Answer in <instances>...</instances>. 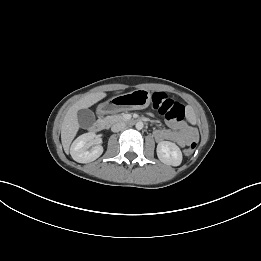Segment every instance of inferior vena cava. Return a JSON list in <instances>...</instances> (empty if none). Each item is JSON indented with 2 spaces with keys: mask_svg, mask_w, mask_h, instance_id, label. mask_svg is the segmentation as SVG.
Returning a JSON list of instances; mask_svg holds the SVG:
<instances>
[{
  "mask_svg": "<svg viewBox=\"0 0 261 261\" xmlns=\"http://www.w3.org/2000/svg\"><path fill=\"white\" fill-rule=\"evenodd\" d=\"M125 126L126 125L124 122H117L112 126L111 130H112V132H119V131L123 130L125 128Z\"/></svg>",
  "mask_w": 261,
  "mask_h": 261,
  "instance_id": "1",
  "label": "inferior vena cava"
}]
</instances>
